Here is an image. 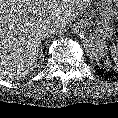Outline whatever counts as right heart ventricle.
I'll return each mask as SVG.
<instances>
[{
	"label": "right heart ventricle",
	"instance_id": "right-heart-ventricle-1",
	"mask_svg": "<svg viewBox=\"0 0 118 118\" xmlns=\"http://www.w3.org/2000/svg\"><path fill=\"white\" fill-rule=\"evenodd\" d=\"M112 1V3H115V5H117V7H118V0H111Z\"/></svg>",
	"mask_w": 118,
	"mask_h": 118
}]
</instances>
